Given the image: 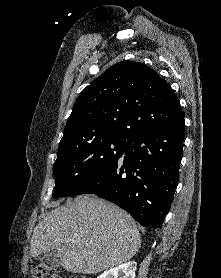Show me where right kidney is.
Masks as SVG:
<instances>
[{"label": "right kidney", "mask_w": 221, "mask_h": 278, "mask_svg": "<svg viewBox=\"0 0 221 278\" xmlns=\"http://www.w3.org/2000/svg\"><path fill=\"white\" fill-rule=\"evenodd\" d=\"M136 262H127L104 271L97 278H135Z\"/></svg>", "instance_id": "1"}]
</instances>
